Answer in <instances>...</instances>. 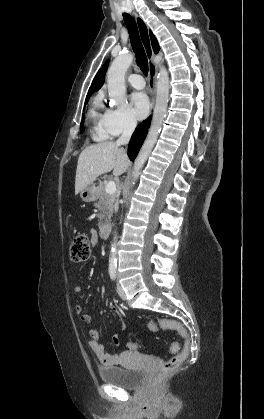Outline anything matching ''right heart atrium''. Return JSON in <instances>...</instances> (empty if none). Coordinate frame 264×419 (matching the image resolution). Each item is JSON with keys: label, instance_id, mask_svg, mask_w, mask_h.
Instances as JSON below:
<instances>
[{"label": "right heart atrium", "instance_id": "obj_1", "mask_svg": "<svg viewBox=\"0 0 264 419\" xmlns=\"http://www.w3.org/2000/svg\"><path fill=\"white\" fill-rule=\"evenodd\" d=\"M105 124L110 136L131 133L137 126V120L129 107L109 109Z\"/></svg>", "mask_w": 264, "mask_h": 419}]
</instances>
